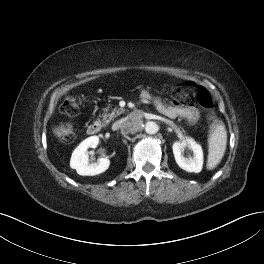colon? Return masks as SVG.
<instances>
[{
	"label": "colon",
	"instance_id": "1",
	"mask_svg": "<svg viewBox=\"0 0 264 264\" xmlns=\"http://www.w3.org/2000/svg\"><path fill=\"white\" fill-rule=\"evenodd\" d=\"M163 89L182 104L198 103L209 112V118L215 122L213 100L206 89H197L195 85L190 82L165 85ZM61 111L67 116H76L79 112V106L75 98L72 96L65 97L61 104ZM53 132L55 137L65 144L71 143L75 139L74 127L70 122H63L57 125Z\"/></svg>",
	"mask_w": 264,
	"mask_h": 264
}]
</instances>
